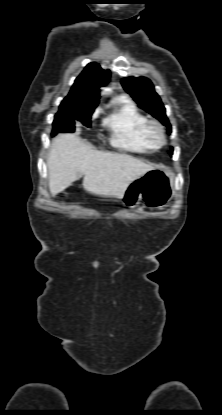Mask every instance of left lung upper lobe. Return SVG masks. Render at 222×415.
Returning <instances> with one entry per match:
<instances>
[{
    "mask_svg": "<svg viewBox=\"0 0 222 415\" xmlns=\"http://www.w3.org/2000/svg\"><path fill=\"white\" fill-rule=\"evenodd\" d=\"M122 85L142 109L166 125L168 132L171 133V125L166 117L164 105L149 79L145 77L123 78ZM170 154H173V148Z\"/></svg>",
    "mask_w": 222,
    "mask_h": 415,
    "instance_id": "1",
    "label": "left lung upper lobe"
}]
</instances>
